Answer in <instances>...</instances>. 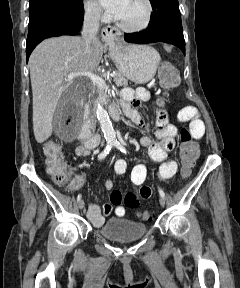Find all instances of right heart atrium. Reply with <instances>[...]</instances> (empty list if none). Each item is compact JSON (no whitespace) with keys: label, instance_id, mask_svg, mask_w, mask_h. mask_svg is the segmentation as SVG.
<instances>
[{"label":"right heart atrium","instance_id":"right-heart-atrium-1","mask_svg":"<svg viewBox=\"0 0 240 288\" xmlns=\"http://www.w3.org/2000/svg\"><path fill=\"white\" fill-rule=\"evenodd\" d=\"M86 15L93 19L99 20L104 18L103 11L98 4L97 0H85L84 2Z\"/></svg>","mask_w":240,"mask_h":288}]
</instances>
